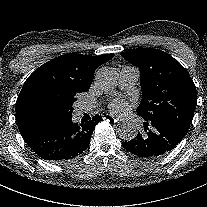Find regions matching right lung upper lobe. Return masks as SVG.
I'll return each mask as SVG.
<instances>
[{"instance_id": "obj_1", "label": "right lung upper lobe", "mask_w": 207, "mask_h": 207, "mask_svg": "<svg viewBox=\"0 0 207 207\" xmlns=\"http://www.w3.org/2000/svg\"><path fill=\"white\" fill-rule=\"evenodd\" d=\"M113 57L114 54L72 53L36 69L25 81L16 101V121L21 135L60 120L57 110L73 108L75 97L88 91L95 70Z\"/></svg>"}]
</instances>
